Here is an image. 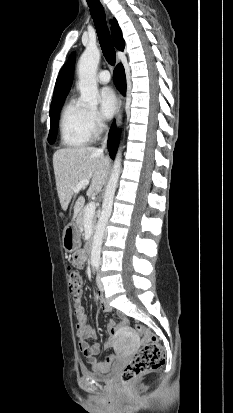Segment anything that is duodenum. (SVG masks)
Returning <instances> with one entry per match:
<instances>
[{
  "instance_id": "1",
  "label": "duodenum",
  "mask_w": 233,
  "mask_h": 413,
  "mask_svg": "<svg viewBox=\"0 0 233 413\" xmlns=\"http://www.w3.org/2000/svg\"><path fill=\"white\" fill-rule=\"evenodd\" d=\"M93 243H94V237H93V236H90L89 239H88V241H87V244H86V250H87V252H91L92 247H93Z\"/></svg>"
}]
</instances>
